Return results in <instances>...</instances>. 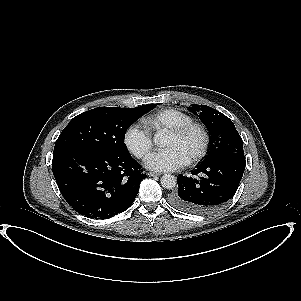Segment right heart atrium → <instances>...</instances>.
<instances>
[{"instance_id":"right-heart-atrium-1","label":"right heart atrium","mask_w":301,"mask_h":301,"mask_svg":"<svg viewBox=\"0 0 301 301\" xmlns=\"http://www.w3.org/2000/svg\"><path fill=\"white\" fill-rule=\"evenodd\" d=\"M125 144L139 158L145 157L153 148L151 134L136 126L128 128L125 134Z\"/></svg>"}]
</instances>
